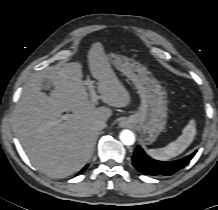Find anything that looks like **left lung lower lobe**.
Segmentation results:
<instances>
[{
  "mask_svg": "<svg viewBox=\"0 0 218 210\" xmlns=\"http://www.w3.org/2000/svg\"><path fill=\"white\" fill-rule=\"evenodd\" d=\"M195 154L196 152L176 161L162 162L150 158L140 146H137L132 157V164L142 174L168 176L185 167Z\"/></svg>",
  "mask_w": 218,
  "mask_h": 210,
  "instance_id": "1",
  "label": "left lung lower lobe"
}]
</instances>
